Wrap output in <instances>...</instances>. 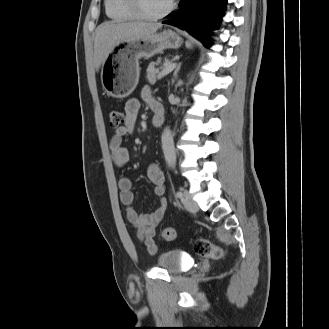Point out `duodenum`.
Here are the masks:
<instances>
[{
    "label": "duodenum",
    "mask_w": 329,
    "mask_h": 329,
    "mask_svg": "<svg viewBox=\"0 0 329 329\" xmlns=\"http://www.w3.org/2000/svg\"><path fill=\"white\" fill-rule=\"evenodd\" d=\"M154 116L152 123L155 127H160L164 122V110L159 105H153Z\"/></svg>",
    "instance_id": "duodenum-1"
}]
</instances>
